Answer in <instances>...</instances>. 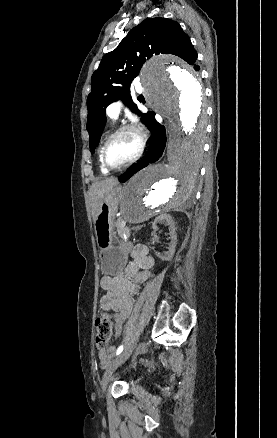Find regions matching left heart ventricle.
Wrapping results in <instances>:
<instances>
[{"instance_id": "b2bd125f", "label": "left heart ventricle", "mask_w": 277, "mask_h": 438, "mask_svg": "<svg viewBox=\"0 0 277 438\" xmlns=\"http://www.w3.org/2000/svg\"><path fill=\"white\" fill-rule=\"evenodd\" d=\"M138 140L131 133L115 138L107 150V159L112 166H119L130 160L136 153Z\"/></svg>"}]
</instances>
